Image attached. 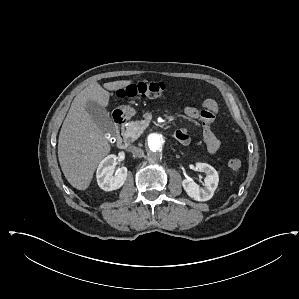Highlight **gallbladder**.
I'll list each match as a JSON object with an SVG mask.
<instances>
[{
	"label": "gallbladder",
	"mask_w": 299,
	"mask_h": 299,
	"mask_svg": "<svg viewBox=\"0 0 299 299\" xmlns=\"http://www.w3.org/2000/svg\"><path fill=\"white\" fill-rule=\"evenodd\" d=\"M86 110L104 133L113 132L114 124L106 108L101 107L96 102L88 101Z\"/></svg>",
	"instance_id": "obj_1"
}]
</instances>
